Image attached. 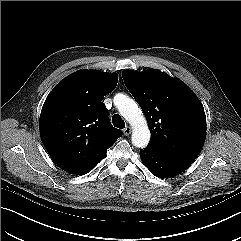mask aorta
<instances>
[{
  "label": "aorta",
  "instance_id": "762f6f07",
  "mask_svg": "<svg viewBox=\"0 0 241 241\" xmlns=\"http://www.w3.org/2000/svg\"><path fill=\"white\" fill-rule=\"evenodd\" d=\"M114 103L120 114L132 126V144L137 148H145L150 141V130L138 104L123 94H117Z\"/></svg>",
  "mask_w": 241,
  "mask_h": 241
}]
</instances>
